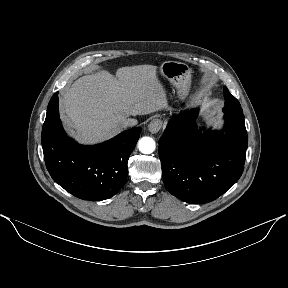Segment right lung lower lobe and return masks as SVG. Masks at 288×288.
<instances>
[{
	"label": "right lung lower lobe",
	"instance_id": "98d812e1",
	"mask_svg": "<svg viewBox=\"0 0 288 288\" xmlns=\"http://www.w3.org/2000/svg\"><path fill=\"white\" fill-rule=\"evenodd\" d=\"M140 132L137 127L102 144L80 145L62 128L56 93L48 104L41 135L47 170L56 183L80 199H108L126 182L127 162Z\"/></svg>",
	"mask_w": 288,
	"mask_h": 288
}]
</instances>
